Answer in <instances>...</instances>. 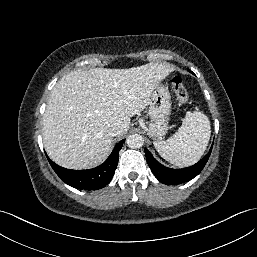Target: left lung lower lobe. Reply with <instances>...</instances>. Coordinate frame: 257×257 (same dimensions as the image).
<instances>
[{"label":"left lung lower lobe","instance_id":"1","mask_svg":"<svg viewBox=\"0 0 257 257\" xmlns=\"http://www.w3.org/2000/svg\"><path fill=\"white\" fill-rule=\"evenodd\" d=\"M211 151L212 147L210 148L208 154H206L198 163L183 169H171L163 166L152 156V154L146 148L145 155L152 173L160 182L166 185H177L188 182L189 180L196 177L206 165Z\"/></svg>","mask_w":257,"mask_h":257}]
</instances>
